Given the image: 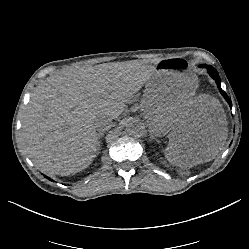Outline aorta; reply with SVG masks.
I'll return each mask as SVG.
<instances>
[{"mask_svg":"<svg viewBox=\"0 0 249 249\" xmlns=\"http://www.w3.org/2000/svg\"><path fill=\"white\" fill-rule=\"evenodd\" d=\"M126 131L129 135L137 136L143 131V125L136 119H131L126 123Z\"/></svg>","mask_w":249,"mask_h":249,"instance_id":"1","label":"aorta"}]
</instances>
